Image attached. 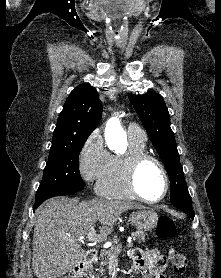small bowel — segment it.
<instances>
[{"label":"small bowel","mask_w":221,"mask_h":278,"mask_svg":"<svg viewBox=\"0 0 221 278\" xmlns=\"http://www.w3.org/2000/svg\"><path fill=\"white\" fill-rule=\"evenodd\" d=\"M131 258L136 262L138 268L145 273V278H165L164 271L167 261L157 249L146 252L133 250Z\"/></svg>","instance_id":"1"}]
</instances>
